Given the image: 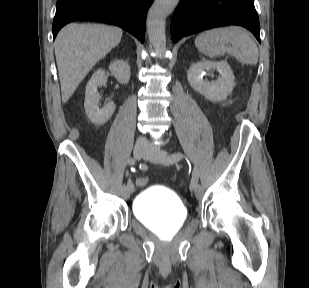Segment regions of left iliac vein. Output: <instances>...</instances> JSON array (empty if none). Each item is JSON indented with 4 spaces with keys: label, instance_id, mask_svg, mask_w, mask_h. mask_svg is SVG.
I'll return each mask as SVG.
<instances>
[{
    "label": "left iliac vein",
    "instance_id": "left-iliac-vein-1",
    "mask_svg": "<svg viewBox=\"0 0 309 288\" xmlns=\"http://www.w3.org/2000/svg\"><path fill=\"white\" fill-rule=\"evenodd\" d=\"M167 152L161 149H147V153L144 155L145 159L150 162L165 164L167 163ZM195 197L197 199L201 198L203 195V188L201 185L197 184L194 189Z\"/></svg>",
    "mask_w": 309,
    "mask_h": 288
}]
</instances>
